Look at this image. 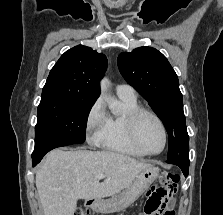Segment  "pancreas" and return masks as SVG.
I'll return each mask as SVG.
<instances>
[{"mask_svg":"<svg viewBox=\"0 0 223 215\" xmlns=\"http://www.w3.org/2000/svg\"><path fill=\"white\" fill-rule=\"evenodd\" d=\"M114 196H116V195H112V197H110L111 199H116V197H114Z\"/></svg>","mask_w":223,"mask_h":215,"instance_id":"obj_1","label":"pancreas"}]
</instances>
